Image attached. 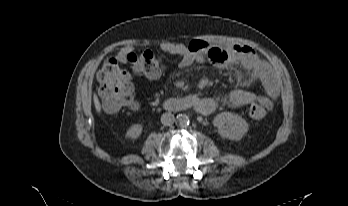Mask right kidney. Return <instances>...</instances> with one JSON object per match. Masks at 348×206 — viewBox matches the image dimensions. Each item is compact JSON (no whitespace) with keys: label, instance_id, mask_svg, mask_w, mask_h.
<instances>
[{"label":"right kidney","instance_id":"1","mask_svg":"<svg viewBox=\"0 0 348 206\" xmlns=\"http://www.w3.org/2000/svg\"><path fill=\"white\" fill-rule=\"evenodd\" d=\"M142 130H143L142 125L135 124L127 130L126 137L131 138V139H136L141 135Z\"/></svg>","mask_w":348,"mask_h":206}]
</instances>
